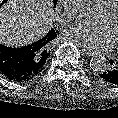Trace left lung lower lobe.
<instances>
[{
    "mask_svg": "<svg viewBox=\"0 0 118 118\" xmlns=\"http://www.w3.org/2000/svg\"><path fill=\"white\" fill-rule=\"evenodd\" d=\"M109 64L106 70L99 74V76L106 82L112 84H118V55L112 59H109Z\"/></svg>",
    "mask_w": 118,
    "mask_h": 118,
    "instance_id": "left-lung-lower-lobe-1",
    "label": "left lung lower lobe"
}]
</instances>
